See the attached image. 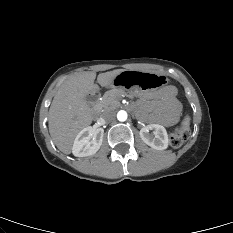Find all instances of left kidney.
I'll list each match as a JSON object with an SVG mask.
<instances>
[{
	"mask_svg": "<svg viewBox=\"0 0 233 233\" xmlns=\"http://www.w3.org/2000/svg\"><path fill=\"white\" fill-rule=\"evenodd\" d=\"M150 130H154L155 136L152 137L149 133ZM140 137L143 142L153 149L165 150L168 147L169 139L166 129L159 124H150L144 126L140 130Z\"/></svg>",
	"mask_w": 233,
	"mask_h": 233,
	"instance_id": "left-kidney-1",
	"label": "left kidney"
}]
</instances>
